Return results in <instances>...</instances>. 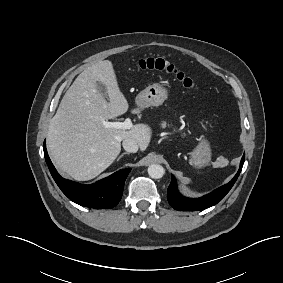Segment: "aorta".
<instances>
[{
	"label": "aorta",
	"instance_id": "1",
	"mask_svg": "<svg viewBox=\"0 0 283 283\" xmlns=\"http://www.w3.org/2000/svg\"><path fill=\"white\" fill-rule=\"evenodd\" d=\"M165 173L164 168L159 164H152L148 167V174L153 179H160Z\"/></svg>",
	"mask_w": 283,
	"mask_h": 283
}]
</instances>
